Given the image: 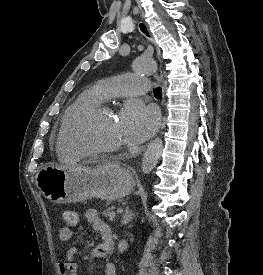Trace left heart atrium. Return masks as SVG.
Here are the masks:
<instances>
[{"label": "left heart atrium", "mask_w": 263, "mask_h": 275, "mask_svg": "<svg viewBox=\"0 0 263 275\" xmlns=\"http://www.w3.org/2000/svg\"><path fill=\"white\" fill-rule=\"evenodd\" d=\"M126 142L137 145L148 139L158 123L157 112L140 101L129 102L118 116Z\"/></svg>", "instance_id": "39dd6f15"}]
</instances>
